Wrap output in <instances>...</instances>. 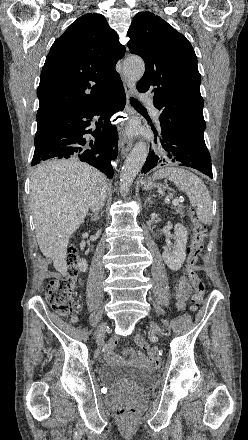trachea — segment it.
Segmentation results:
<instances>
[{
  "label": "trachea",
  "mask_w": 248,
  "mask_h": 440,
  "mask_svg": "<svg viewBox=\"0 0 248 440\" xmlns=\"http://www.w3.org/2000/svg\"><path fill=\"white\" fill-rule=\"evenodd\" d=\"M130 103L135 109L145 110V108L134 98H130Z\"/></svg>",
  "instance_id": "trachea-1"
}]
</instances>
